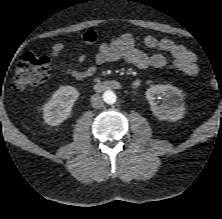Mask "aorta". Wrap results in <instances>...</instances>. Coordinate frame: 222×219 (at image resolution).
I'll return each mask as SVG.
<instances>
[{
  "instance_id": "obj_1",
  "label": "aorta",
  "mask_w": 222,
  "mask_h": 219,
  "mask_svg": "<svg viewBox=\"0 0 222 219\" xmlns=\"http://www.w3.org/2000/svg\"><path fill=\"white\" fill-rule=\"evenodd\" d=\"M103 98H104V101L107 103V104H114L116 102V95L113 91H106L104 94H103Z\"/></svg>"
}]
</instances>
